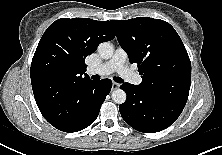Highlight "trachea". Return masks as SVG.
<instances>
[{"mask_svg":"<svg viewBox=\"0 0 222 155\" xmlns=\"http://www.w3.org/2000/svg\"><path fill=\"white\" fill-rule=\"evenodd\" d=\"M92 79H94V80H99V79H100V76H99V75H93V76H92ZM114 81L117 82V83H122V82H123V79L120 78V77H114Z\"/></svg>","mask_w":222,"mask_h":155,"instance_id":"3493384b","label":"trachea"}]
</instances>
